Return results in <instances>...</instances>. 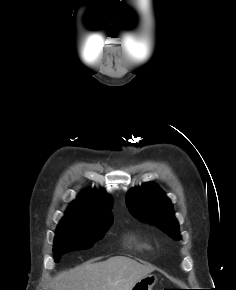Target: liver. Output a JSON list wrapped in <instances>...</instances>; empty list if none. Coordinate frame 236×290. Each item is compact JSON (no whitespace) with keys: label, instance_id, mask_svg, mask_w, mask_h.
<instances>
[{"label":"liver","instance_id":"1","mask_svg":"<svg viewBox=\"0 0 236 290\" xmlns=\"http://www.w3.org/2000/svg\"><path fill=\"white\" fill-rule=\"evenodd\" d=\"M125 256H115L106 261L86 262L56 275L53 290H131L134 284L154 271Z\"/></svg>","mask_w":236,"mask_h":290}]
</instances>
